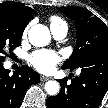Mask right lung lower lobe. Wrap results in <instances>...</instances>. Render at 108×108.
Listing matches in <instances>:
<instances>
[{"instance_id": "right-lung-lower-lobe-1", "label": "right lung lower lobe", "mask_w": 108, "mask_h": 108, "mask_svg": "<svg viewBox=\"0 0 108 108\" xmlns=\"http://www.w3.org/2000/svg\"><path fill=\"white\" fill-rule=\"evenodd\" d=\"M0 62V108H19L27 88L39 82V74L28 66L20 67L13 75Z\"/></svg>"}]
</instances>
